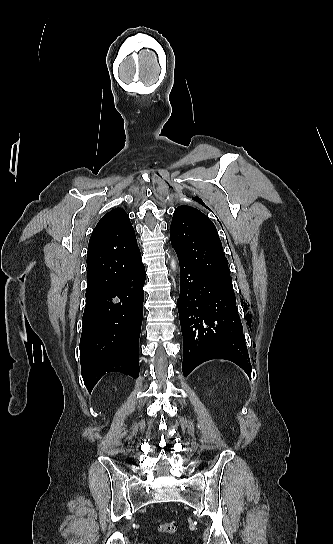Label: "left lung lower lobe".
<instances>
[{"instance_id":"obj_1","label":"left lung lower lobe","mask_w":333,"mask_h":544,"mask_svg":"<svg viewBox=\"0 0 333 544\" xmlns=\"http://www.w3.org/2000/svg\"><path fill=\"white\" fill-rule=\"evenodd\" d=\"M178 312L183 335V374L201 363L222 358L249 376L251 364L236 298L207 274L180 261Z\"/></svg>"}]
</instances>
